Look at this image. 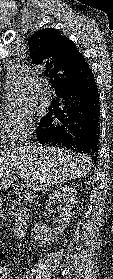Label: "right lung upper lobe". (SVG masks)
<instances>
[{
    "instance_id": "obj_1",
    "label": "right lung upper lobe",
    "mask_w": 113,
    "mask_h": 279,
    "mask_svg": "<svg viewBox=\"0 0 113 279\" xmlns=\"http://www.w3.org/2000/svg\"><path fill=\"white\" fill-rule=\"evenodd\" d=\"M29 52L34 63L46 66L44 74L54 79L56 94L78 82L90 69L76 45L53 28L32 35Z\"/></svg>"
}]
</instances>
